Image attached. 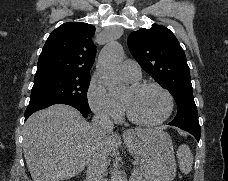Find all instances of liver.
Here are the masks:
<instances>
[{"instance_id":"6515ba94","label":"liver","mask_w":228,"mask_h":181,"mask_svg":"<svg viewBox=\"0 0 228 181\" xmlns=\"http://www.w3.org/2000/svg\"><path fill=\"white\" fill-rule=\"evenodd\" d=\"M159 131V129H135ZM98 141L91 125L69 105H53L37 111L24 125L23 151L32 181H66L84 171L90 151ZM118 141L116 135L99 145L110 155Z\"/></svg>"}]
</instances>
